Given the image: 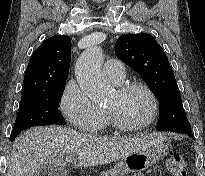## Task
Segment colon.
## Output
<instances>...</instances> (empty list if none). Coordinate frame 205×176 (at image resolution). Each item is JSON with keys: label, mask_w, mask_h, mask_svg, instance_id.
Instances as JSON below:
<instances>
[{"label": "colon", "mask_w": 205, "mask_h": 176, "mask_svg": "<svg viewBox=\"0 0 205 176\" xmlns=\"http://www.w3.org/2000/svg\"><path fill=\"white\" fill-rule=\"evenodd\" d=\"M167 166L173 176H187V165L180 153L171 154Z\"/></svg>", "instance_id": "obj_1"}]
</instances>
